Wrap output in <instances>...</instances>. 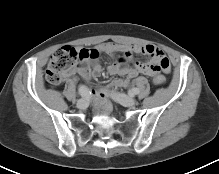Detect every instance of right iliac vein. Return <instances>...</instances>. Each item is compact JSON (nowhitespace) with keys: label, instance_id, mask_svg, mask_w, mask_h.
<instances>
[{"label":"right iliac vein","instance_id":"63e3f726","mask_svg":"<svg viewBox=\"0 0 219 174\" xmlns=\"http://www.w3.org/2000/svg\"><path fill=\"white\" fill-rule=\"evenodd\" d=\"M77 108L79 109H85L88 105V100L86 98H82L77 101Z\"/></svg>","mask_w":219,"mask_h":174}]
</instances>
